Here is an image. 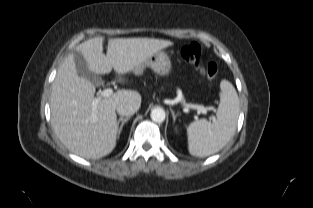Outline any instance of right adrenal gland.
<instances>
[{
	"label": "right adrenal gland",
	"mask_w": 313,
	"mask_h": 208,
	"mask_svg": "<svg viewBox=\"0 0 313 208\" xmlns=\"http://www.w3.org/2000/svg\"><path fill=\"white\" fill-rule=\"evenodd\" d=\"M130 119V117H120L117 121V125L119 126L118 135H120L124 124Z\"/></svg>",
	"instance_id": "1"
}]
</instances>
